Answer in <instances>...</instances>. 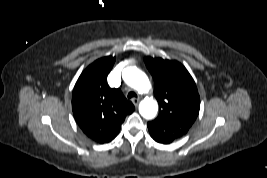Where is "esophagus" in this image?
Masks as SVG:
<instances>
[{
  "mask_svg": "<svg viewBox=\"0 0 267 178\" xmlns=\"http://www.w3.org/2000/svg\"><path fill=\"white\" fill-rule=\"evenodd\" d=\"M139 102H140V99H139V98H133V99H132V103H133L135 106H138Z\"/></svg>",
  "mask_w": 267,
  "mask_h": 178,
  "instance_id": "1",
  "label": "esophagus"
}]
</instances>
